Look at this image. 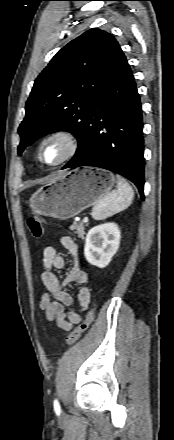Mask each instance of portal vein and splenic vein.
<instances>
[{"label": "portal vein and splenic vein", "mask_w": 174, "mask_h": 440, "mask_svg": "<svg viewBox=\"0 0 174 440\" xmlns=\"http://www.w3.org/2000/svg\"><path fill=\"white\" fill-rule=\"evenodd\" d=\"M88 221H89L88 217L83 218V222H88Z\"/></svg>", "instance_id": "18ae733b"}]
</instances>
